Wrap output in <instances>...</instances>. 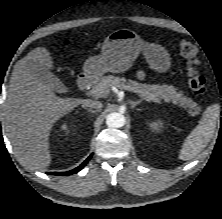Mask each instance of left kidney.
Returning <instances> with one entry per match:
<instances>
[{
	"instance_id": "obj_1",
	"label": "left kidney",
	"mask_w": 222,
	"mask_h": 219,
	"mask_svg": "<svg viewBox=\"0 0 222 219\" xmlns=\"http://www.w3.org/2000/svg\"><path fill=\"white\" fill-rule=\"evenodd\" d=\"M150 127H151L152 131H156L157 132V131L161 130L163 125H162L161 122L154 121V122L150 123Z\"/></svg>"
}]
</instances>
